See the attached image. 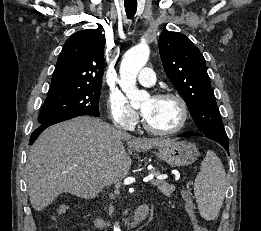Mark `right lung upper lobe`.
Returning <instances> with one entry per match:
<instances>
[{"mask_svg": "<svg viewBox=\"0 0 261 231\" xmlns=\"http://www.w3.org/2000/svg\"><path fill=\"white\" fill-rule=\"evenodd\" d=\"M104 45L99 28L72 34L59 54L50 88L101 87Z\"/></svg>", "mask_w": 261, "mask_h": 231, "instance_id": "right-lung-upper-lobe-1", "label": "right lung upper lobe"}]
</instances>
